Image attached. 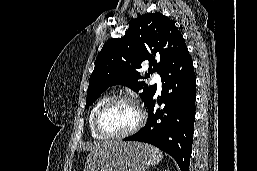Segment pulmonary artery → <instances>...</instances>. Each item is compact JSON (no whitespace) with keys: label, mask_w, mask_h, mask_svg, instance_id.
Instances as JSON below:
<instances>
[{"label":"pulmonary artery","mask_w":257,"mask_h":171,"mask_svg":"<svg viewBox=\"0 0 257 171\" xmlns=\"http://www.w3.org/2000/svg\"><path fill=\"white\" fill-rule=\"evenodd\" d=\"M152 82L156 84L157 86V92L160 93L162 90V83H161V78L159 74H154L152 78Z\"/></svg>","instance_id":"e3ab8cb5"}]
</instances>
